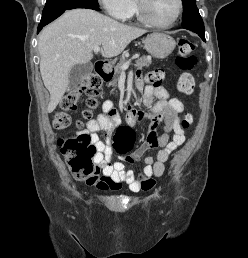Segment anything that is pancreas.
Returning a JSON list of instances; mask_svg holds the SVG:
<instances>
[{
    "label": "pancreas",
    "mask_w": 248,
    "mask_h": 258,
    "mask_svg": "<svg viewBox=\"0 0 248 258\" xmlns=\"http://www.w3.org/2000/svg\"><path fill=\"white\" fill-rule=\"evenodd\" d=\"M126 59L125 57H123L119 63L115 66V69H114V77H113V80L111 82V84L113 86H115L117 84V81L119 79V76L122 72L121 70V66L125 63ZM152 60H151V57H145L143 56L142 58H140L139 60L136 61V66L138 68H143V67H148L150 64H151Z\"/></svg>",
    "instance_id": "1"
}]
</instances>
